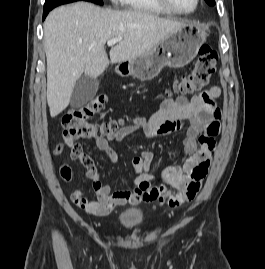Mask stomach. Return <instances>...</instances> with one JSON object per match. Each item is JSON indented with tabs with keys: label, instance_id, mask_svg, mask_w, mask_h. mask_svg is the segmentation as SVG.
<instances>
[{
	"label": "stomach",
	"instance_id": "stomach-1",
	"mask_svg": "<svg viewBox=\"0 0 265 269\" xmlns=\"http://www.w3.org/2000/svg\"><path fill=\"white\" fill-rule=\"evenodd\" d=\"M207 34L198 25L186 23L162 39L151 51L120 63L124 75L151 80L165 67L180 68L189 64L206 41Z\"/></svg>",
	"mask_w": 265,
	"mask_h": 269
}]
</instances>
